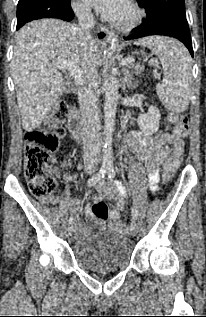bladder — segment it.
<instances>
[{
	"mask_svg": "<svg viewBox=\"0 0 206 317\" xmlns=\"http://www.w3.org/2000/svg\"><path fill=\"white\" fill-rule=\"evenodd\" d=\"M133 245L124 235L114 232L88 234L74 244L73 255L86 270H116L129 262Z\"/></svg>",
	"mask_w": 206,
	"mask_h": 317,
	"instance_id": "obj_1",
	"label": "bladder"
}]
</instances>
